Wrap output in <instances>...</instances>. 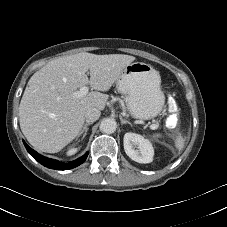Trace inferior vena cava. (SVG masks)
<instances>
[{
	"label": "inferior vena cava",
	"mask_w": 227,
	"mask_h": 227,
	"mask_svg": "<svg viewBox=\"0 0 227 227\" xmlns=\"http://www.w3.org/2000/svg\"><path fill=\"white\" fill-rule=\"evenodd\" d=\"M101 115L100 110L97 108H90L85 112V119L87 122H95Z\"/></svg>",
	"instance_id": "602c4592"
}]
</instances>
